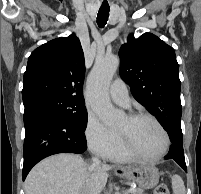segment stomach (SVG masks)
<instances>
[{
  "label": "stomach",
  "mask_w": 201,
  "mask_h": 194,
  "mask_svg": "<svg viewBox=\"0 0 201 194\" xmlns=\"http://www.w3.org/2000/svg\"><path fill=\"white\" fill-rule=\"evenodd\" d=\"M120 176L137 183V185L142 189H151L158 184L160 174L155 166L143 164L122 167Z\"/></svg>",
  "instance_id": "obj_1"
}]
</instances>
